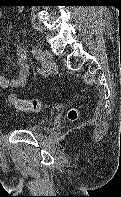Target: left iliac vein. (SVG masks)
<instances>
[{"mask_svg": "<svg viewBox=\"0 0 121 197\" xmlns=\"http://www.w3.org/2000/svg\"><path fill=\"white\" fill-rule=\"evenodd\" d=\"M39 59L42 65V69L46 70L51 65L52 55L49 51L43 50L39 54Z\"/></svg>", "mask_w": 121, "mask_h": 197, "instance_id": "left-iliac-vein-1", "label": "left iliac vein"}]
</instances>
